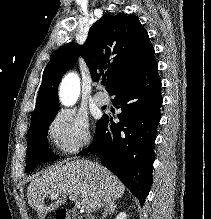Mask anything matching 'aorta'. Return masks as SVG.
Wrapping results in <instances>:
<instances>
[{
	"label": "aorta",
	"instance_id": "1",
	"mask_svg": "<svg viewBox=\"0 0 211 219\" xmlns=\"http://www.w3.org/2000/svg\"><path fill=\"white\" fill-rule=\"evenodd\" d=\"M80 91L79 78L74 73H69L62 81L60 98L64 105H72L78 98Z\"/></svg>",
	"mask_w": 211,
	"mask_h": 219
}]
</instances>
